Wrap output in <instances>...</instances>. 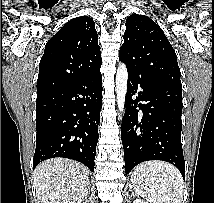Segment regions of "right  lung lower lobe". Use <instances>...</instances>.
<instances>
[{"mask_svg": "<svg viewBox=\"0 0 214 203\" xmlns=\"http://www.w3.org/2000/svg\"><path fill=\"white\" fill-rule=\"evenodd\" d=\"M101 96L100 70L37 96L34 168L46 159L64 157L94 171Z\"/></svg>", "mask_w": 214, "mask_h": 203, "instance_id": "1", "label": "right lung lower lobe"}]
</instances>
